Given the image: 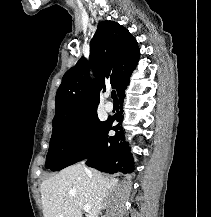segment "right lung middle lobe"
<instances>
[{"label":"right lung middle lobe","instance_id":"obj_1","mask_svg":"<svg viewBox=\"0 0 211 217\" xmlns=\"http://www.w3.org/2000/svg\"><path fill=\"white\" fill-rule=\"evenodd\" d=\"M105 122L93 111L81 118L53 127L45 167L59 171L86 158L103 137ZM86 135L84 142L80 141Z\"/></svg>","mask_w":211,"mask_h":217}]
</instances>
